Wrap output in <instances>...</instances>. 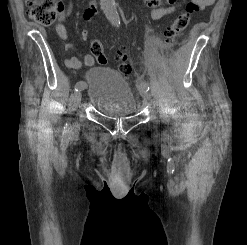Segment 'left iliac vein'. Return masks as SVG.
Wrapping results in <instances>:
<instances>
[{
	"mask_svg": "<svg viewBox=\"0 0 247 245\" xmlns=\"http://www.w3.org/2000/svg\"><path fill=\"white\" fill-rule=\"evenodd\" d=\"M139 92L141 96L143 97L144 101L148 103L151 99V95L147 90V87L145 85H140L139 86Z\"/></svg>",
	"mask_w": 247,
	"mask_h": 245,
	"instance_id": "left-iliac-vein-1",
	"label": "left iliac vein"
}]
</instances>
